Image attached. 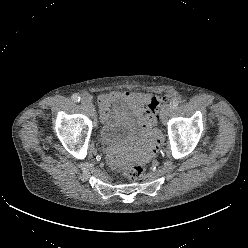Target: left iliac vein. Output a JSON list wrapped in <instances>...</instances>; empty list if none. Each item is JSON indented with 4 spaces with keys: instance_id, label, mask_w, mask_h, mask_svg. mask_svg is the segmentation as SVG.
I'll use <instances>...</instances> for the list:
<instances>
[{
    "instance_id": "left-iliac-vein-1",
    "label": "left iliac vein",
    "mask_w": 248,
    "mask_h": 248,
    "mask_svg": "<svg viewBox=\"0 0 248 248\" xmlns=\"http://www.w3.org/2000/svg\"><path fill=\"white\" fill-rule=\"evenodd\" d=\"M170 110H171V105H169V104H165L162 107V109L160 111V117H161V119H162L163 122L166 121V119H167V117L169 115Z\"/></svg>"
}]
</instances>
